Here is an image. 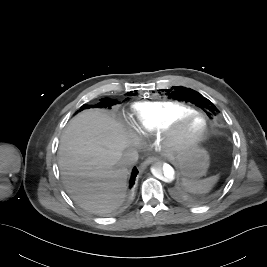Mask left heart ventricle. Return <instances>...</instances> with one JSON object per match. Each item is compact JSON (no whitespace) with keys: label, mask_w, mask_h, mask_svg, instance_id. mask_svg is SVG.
<instances>
[{"label":"left heart ventricle","mask_w":267,"mask_h":267,"mask_svg":"<svg viewBox=\"0 0 267 267\" xmlns=\"http://www.w3.org/2000/svg\"><path fill=\"white\" fill-rule=\"evenodd\" d=\"M203 126V122L200 118L193 119L189 121L182 130L184 136H193L197 134Z\"/></svg>","instance_id":"left-heart-ventricle-1"}]
</instances>
